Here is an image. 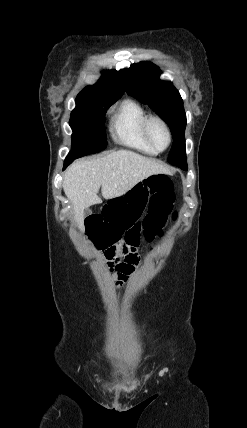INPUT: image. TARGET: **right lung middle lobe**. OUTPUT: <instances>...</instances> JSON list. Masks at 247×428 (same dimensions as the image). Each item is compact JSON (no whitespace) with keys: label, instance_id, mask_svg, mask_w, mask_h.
<instances>
[{"label":"right lung middle lobe","instance_id":"obj_1","mask_svg":"<svg viewBox=\"0 0 247 428\" xmlns=\"http://www.w3.org/2000/svg\"><path fill=\"white\" fill-rule=\"evenodd\" d=\"M69 125L73 130L72 149L66 159H76L106 148L105 113L113 103L92 97H76Z\"/></svg>","mask_w":247,"mask_h":428}]
</instances>
